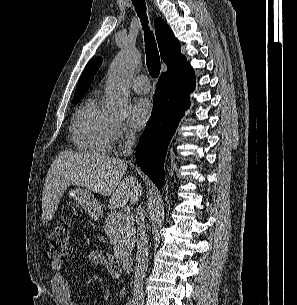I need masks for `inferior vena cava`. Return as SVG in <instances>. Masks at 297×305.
<instances>
[{
    "label": "inferior vena cava",
    "instance_id": "1",
    "mask_svg": "<svg viewBox=\"0 0 297 305\" xmlns=\"http://www.w3.org/2000/svg\"><path fill=\"white\" fill-rule=\"evenodd\" d=\"M134 142V132H126V143L124 151L126 155L132 154ZM135 220L137 224V252L132 289V301L134 303H139V305H143V281L148 267L149 247L145 228L144 210L142 207L137 208Z\"/></svg>",
    "mask_w": 297,
    "mask_h": 305
}]
</instances>
